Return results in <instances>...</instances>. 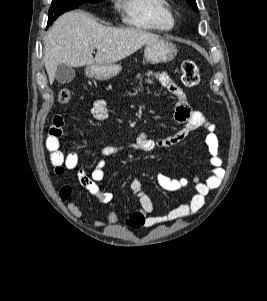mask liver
I'll return each instance as SVG.
<instances>
[{
	"mask_svg": "<svg viewBox=\"0 0 267 301\" xmlns=\"http://www.w3.org/2000/svg\"><path fill=\"white\" fill-rule=\"evenodd\" d=\"M159 39L158 35L139 29L103 26L80 10L65 13L54 22L44 42L49 82L53 83L60 64L70 67L112 64ZM94 49H97L95 57Z\"/></svg>",
	"mask_w": 267,
	"mask_h": 301,
	"instance_id": "liver-1",
	"label": "liver"
}]
</instances>
